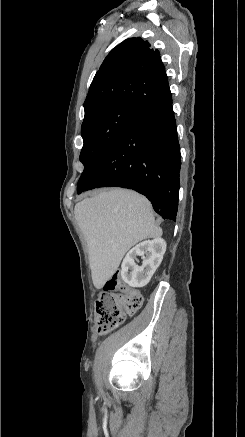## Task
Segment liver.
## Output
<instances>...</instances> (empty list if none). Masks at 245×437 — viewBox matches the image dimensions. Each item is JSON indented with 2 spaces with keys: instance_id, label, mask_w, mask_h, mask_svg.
I'll list each match as a JSON object with an SVG mask.
<instances>
[{
  "instance_id": "liver-1",
  "label": "liver",
  "mask_w": 245,
  "mask_h": 437,
  "mask_svg": "<svg viewBox=\"0 0 245 437\" xmlns=\"http://www.w3.org/2000/svg\"><path fill=\"white\" fill-rule=\"evenodd\" d=\"M74 213L87 242L92 281L97 289L113 276L132 246L162 235L151 203L130 190L102 191L77 203Z\"/></svg>"
}]
</instances>
